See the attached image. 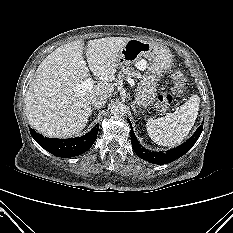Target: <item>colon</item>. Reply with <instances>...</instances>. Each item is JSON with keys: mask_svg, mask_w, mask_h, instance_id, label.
I'll return each mask as SVG.
<instances>
[{"mask_svg": "<svg viewBox=\"0 0 233 233\" xmlns=\"http://www.w3.org/2000/svg\"><path fill=\"white\" fill-rule=\"evenodd\" d=\"M172 92L180 96L186 91V76L181 70H175L171 75ZM173 103V96L170 93H162L158 96L156 107L159 111H166Z\"/></svg>", "mask_w": 233, "mask_h": 233, "instance_id": "5ec220e1", "label": "colon"}]
</instances>
